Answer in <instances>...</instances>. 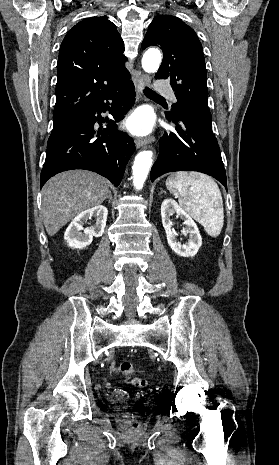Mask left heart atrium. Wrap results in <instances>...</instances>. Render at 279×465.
I'll return each mask as SVG.
<instances>
[{"mask_svg":"<svg viewBox=\"0 0 279 465\" xmlns=\"http://www.w3.org/2000/svg\"><path fill=\"white\" fill-rule=\"evenodd\" d=\"M154 126L152 114L144 109L135 111L125 122V127L134 135L149 134Z\"/></svg>","mask_w":279,"mask_h":465,"instance_id":"obj_1","label":"left heart atrium"}]
</instances>
